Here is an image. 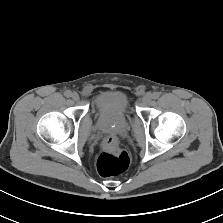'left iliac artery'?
<instances>
[{"instance_id": "1", "label": "left iliac artery", "mask_w": 223, "mask_h": 223, "mask_svg": "<svg viewBox=\"0 0 223 223\" xmlns=\"http://www.w3.org/2000/svg\"><path fill=\"white\" fill-rule=\"evenodd\" d=\"M159 96H160V93H159V92H154V93L152 94V98H153V99H158Z\"/></svg>"}]
</instances>
